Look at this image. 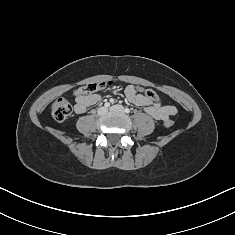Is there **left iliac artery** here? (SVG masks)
Segmentation results:
<instances>
[{
    "label": "left iliac artery",
    "instance_id": "44dca946",
    "mask_svg": "<svg viewBox=\"0 0 235 235\" xmlns=\"http://www.w3.org/2000/svg\"><path fill=\"white\" fill-rule=\"evenodd\" d=\"M125 113H129L130 112V109L129 108H125Z\"/></svg>",
    "mask_w": 235,
    "mask_h": 235
}]
</instances>
